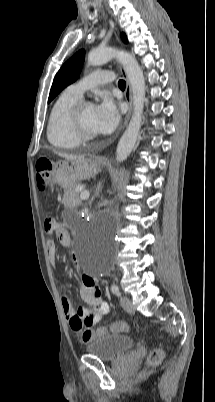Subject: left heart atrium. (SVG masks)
Returning <instances> with one entry per match:
<instances>
[{"label": "left heart atrium", "instance_id": "1", "mask_svg": "<svg viewBox=\"0 0 215 402\" xmlns=\"http://www.w3.org/2000/svg\"><path fill=\"white\" fill-rule=\"evenodd\" d=\"M119 111L109 96H104L95 107L93 127L96 133L106 134L112 132L118 125Z\"/></svg>", "mask_w": 215, "mask_h": 402}]
</instances>
